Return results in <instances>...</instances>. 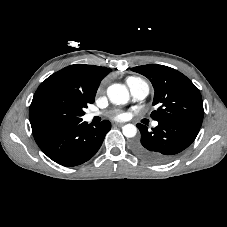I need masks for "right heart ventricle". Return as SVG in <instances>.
<instances>
[{
	"mask_svg": "<svg viewBox=\"0 0 227 227\" xmlns=\"http://www.w3.org/2000/svg\"><path fill=\"white\" fill-rule=\"evenodd\" d=\"M135 79H139V78L130 77V78L127 79V82L130 81V80H135Z\"/></svg>",
	"mask_w": 227,
	"mask_h": 227,
	"instance_id": "right-heart-ventricle-1",
	"label": "right heart ventricle"
}]
</instances>
